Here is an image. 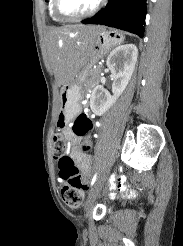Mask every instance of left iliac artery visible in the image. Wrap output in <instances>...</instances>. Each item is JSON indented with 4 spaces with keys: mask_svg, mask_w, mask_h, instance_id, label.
<instances>
[{
    "mask_svg": "<svg viewBox=\"0 0 183 246\" xmlns=\"http://www.w3.org/2000/svg\"><path fill=\"white\" fill-rule=\"evenodd\" d=\"M97 172L94 174L92 181H91V186L95 183L96 179H97Z\"/></svg>",
    "mask_w": 183,
    "mask_h": 246,
    "instance_id": "left-iliac-artery-1",
    "label": "left iliac artery"
}]
</instances>
